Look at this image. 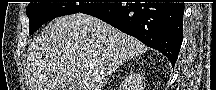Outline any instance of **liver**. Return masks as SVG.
<instances>
[{
  "label": "liver",
  "instance_id": "obj_1",
  "mask_svg": "<svg viewBox=\"0 0 216 90\" xmlns=\"http://www.w3.org/2000/svg\"><path fill=\"white\" fill-rule=\"evenodd\" d=\"M147 50L93 16L56 18L28 48L27 90H104L119 66Z\"/></svg>",
  "mask_w": 216,
  "mask_h": 90
}]
</instances>
